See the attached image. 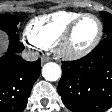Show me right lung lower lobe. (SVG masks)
<instances>
[{"mask_svg": "<svg viewBox=\"0 0 112 112\" xmlns=\"http://www.w3.org/2000/svg\"><path fill=\"white\" fill-rule=\"evenodd\" d=\"M23 49L19 39L9 38L8 51L0 58V112H22L40 75V59L25 61L17 55Z\"/></svg>", "mask_w": 112, "mask_h": 112, "instance_id": "right-lung-lower-lobe-1", "label": "right lung lower lobe"}]
</instances>
